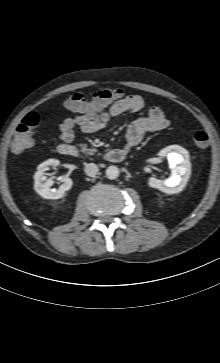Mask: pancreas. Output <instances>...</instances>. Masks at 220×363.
<instances>
[{
    "instance_id": "1",
    "label": "pancreas",
    "mask_w": 220,
    "mask_h": 363,
    "mask_svg": "<svg viewBox=\"0 0 220 363\" xmlns=\"http://www.w3.org/2000/svg\"><path fill=\"white\" fill-rule=\"evenodd\" d=\"M81 147V151L86 155H94L97 150L95 148H87L86 144L79 145Z\"/></svg>"
}]
</instances>
